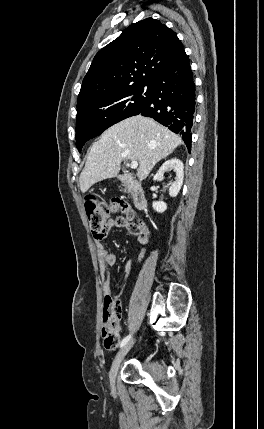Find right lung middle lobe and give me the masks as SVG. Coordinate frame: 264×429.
Segmentation results:
<instances>
[{
    "instance_id": "dd1d6c3e",
    "label": "right lung middle lobe",
    "mask_w": 264,
    "mask_h": 429,
    "mask_svg": "<svg viewBox=\"0 0 264 429\" xmlns=\"http://www.w3.org/2000/svg\"><path fill=\"white\" fill-rule=\"evenodd\" d=\"M151 95L152 84H137L78 106L76 146L79 152L89 139L115 123L137 115Z\"/></svg>"
}]
</instances>
